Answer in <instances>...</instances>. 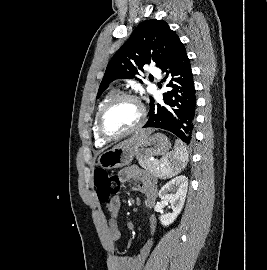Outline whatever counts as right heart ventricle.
I'll list each match as a JSON object with an SVG mask.
<instances>
[{
	"mask_svg": "<svg viewBox=\"0 0 267 270\" xmlns=\"http://www.w3.org/2000/svg\"><path fill=\"white\" fill-rule=\"evenodd\" d=\"M116 95V91H111L109 92L101 101L100 103L98 104V107L96 109V112H95V116H94V120H93V125H92V132H93V137H94V141H95V144L99 147H102L104 146L107 142L102 140L98 133H97V129H96V121H97V115L100 111V109L103 107V105L108 101L110 100L113 96Z\"/></svg>",
	"mask_w": 267,
	"mask_h": 270,
	"instance_id": "right-heart-ventricle-1",
	"label": "right heart ventricle"
}]
</instances>
